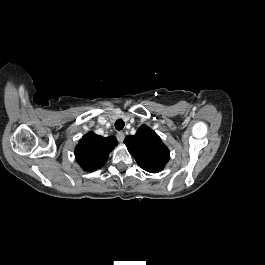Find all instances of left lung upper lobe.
Returning a JSON list of instances; mask_svg holds the SVG:
<instances>
[{"label":"left lung upper lobe","instance_id":"5c2ea615","mask_svg":"<svg viewBox=\"0 0 265 265\" xmlns=\"http://www.w3.org/2000/svg\"><path fill=\"white\" fill-rule=\"evenodd\" d=\"M124 143L137 164L147 172L158 173L169 161V149L146 125L141 126L135 135L127 136Z\"/></svg>","mask_w":265,"mask_h":265}]
</instances>
